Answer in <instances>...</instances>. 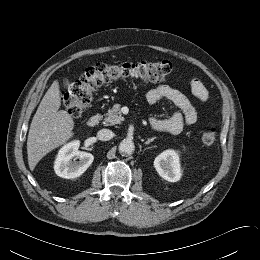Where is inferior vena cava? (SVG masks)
I'll use <instances>...</instances> for the list:
<instances>
[{"label":"inferior vena cava","mask_w":260,"mask_h":260,"mask_svg":"<svg viewBox=\"0 0 260 260\" xmlns=\"http://www.w3.org/2000/svg\"><path fill=\"white\" fill-rule=\"evenodd\" d=\"M114 136V133L109 129H101L97 133V138L101 141H108L112 139Z\"/></svg>","instance_id":"602c4592"}]
</instances>
